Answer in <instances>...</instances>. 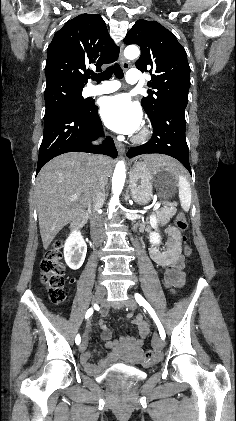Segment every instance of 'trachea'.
Segmentation results:
<instances>
[{
    "label": "trachea",
    "mask_w": 236,
    "mask_h": 421,
    "mask_svg": "<svg viewBox=\"0 0 236 421\" xmlns=\"http://www.w3.org/2000/svg\"><path fill=\"white\" fill-rule=\"evenodd\" d=\"M113 73L116 78L122 79L124 77L122 68L118 63H115L113 66H109L104 72L92 75L91 78L99 83L104 80H109Z\"/></svg>",
    "instance_id": "trachea-1"
}]
</instances>
